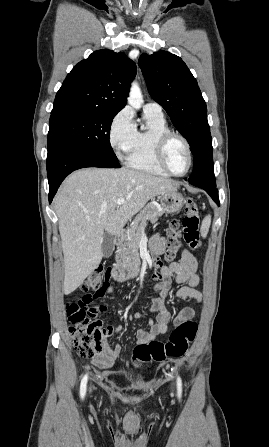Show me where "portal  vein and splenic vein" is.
Returning a JSON list of instances; mask_svg holds the SVG:
<instances>
[{"label": "portal vein and splenic vein", "mask_w": 269, "mask_h": 447, "mask_svg": "<svg viewBox=\"0 0 269 447\" xmlns=\"http://www.w3.org/2000/svg\"><path fill=\"white\" fill-rule=\"evenodd\" d=\"M124 202H125V198H119V200H117L118 206H122V204H124Z\"/></svg>", "instance_id": "portal-vein-and-splenic-vein-1"}]
</instances>
